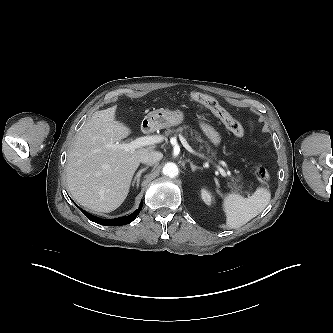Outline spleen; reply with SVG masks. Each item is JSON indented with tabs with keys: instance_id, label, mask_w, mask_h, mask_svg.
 Instances as JSON below:
<instances>
[{
	"instance_id": "3e777b00",
	"label": "spleen",
	"mask_w": 333,
	"mask_h": 333,
	"mask_svg": "<svg viewBox=\"0 0 333 333\" xmlns=\"http://www.w3.org/2000/svg\"><path fill=\"white\" fill-rule=\"evenodd\" d=\"M270 199V191L261 187L248 198L236 193L227 194L223 200L227 227L235 229L245 225L265 209Z\"/></svg>"
}]
</instances>
